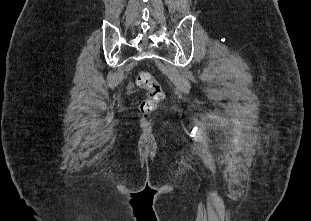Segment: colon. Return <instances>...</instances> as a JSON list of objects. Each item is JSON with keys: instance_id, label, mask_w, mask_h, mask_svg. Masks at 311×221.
<instances>
[{"instance_id": "5ec220e1", "label": "colon", "mask_w": 311, "mask_h": 221, "mask_svg": "<svg viewBox=\"0 0 311 221\" xmlns=\"http://www.w3.org/2000/svg\"><path fill=\"white\" fill-rule=\"evenodd\" d=\"M136 82L140 88L148 91L147 97L139 107L140 114L146 116L163 100L165 95L164 90L151 74L143 70L138 72Z\"/></svg>"}]
</instances>
